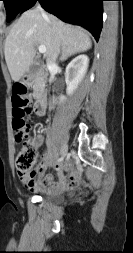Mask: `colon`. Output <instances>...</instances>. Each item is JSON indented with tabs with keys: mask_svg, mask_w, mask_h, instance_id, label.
Segmentation results:
<instances>
[{
	"mask_svg": "<svg viewBox=\"0 0 133 253\" xmlns=\"http://www.w3.org/2000/svg\"><path fill=\"white\" fill-rule=\"evenodd\" d=\"M13 105V130L15 133V141L22 143L23 147L16 158V167L19 172L29 171L36 160V140L31 135V126L25 119L29 113L28 99L26 97V89L24 86H16L12 96Z\"/></svg>",
	"mask_w": 133,
	"mask_h": 253,
	"instance_id": "1",
	"label": "colon"
}]
</instances>
